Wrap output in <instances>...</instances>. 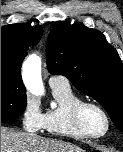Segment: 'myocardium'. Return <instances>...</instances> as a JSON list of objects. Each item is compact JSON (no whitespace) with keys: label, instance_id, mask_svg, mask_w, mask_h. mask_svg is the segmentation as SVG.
I'll use <instances>...</instances> for the list:
<instances>
[{"label":"myocardium","instance_id":"myocardium-1","mask_svg":"<svg viewBox=\"0 0 123 152\" xmlns=\"http://www.w3.org/2000/svg\"><path fill=\"white\" fill-rule=\"evenodd\" d=\"M87 107H93L97 109L104 116L105 121H106V128L102 133L93 134L89 132L83 125L82 115H83L84 110ZM72 120L76 129L81 134H83L85 137H88V138H101L105 136L108 133L111 126V120L107 111L101 105L92 101L80 100L79 102H77L72 108Z\"/></svg>","mask_w":123,"mask_h":152}]
</instances>
